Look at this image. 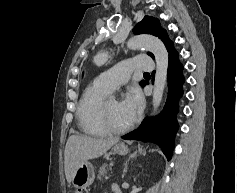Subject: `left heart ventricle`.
<instances>
[{
    "instance_id": "left-heart-ventricle-1",
    "label": "left heart ventricle",
    "mask_w": 237,
    "mask_h": 193,
    "mask_svg": "<svg viewBox=\"0 0 237 193\" xmlns=\"http://www.w3.org/2000/svg\"><path fill=\"white\" fill-rule=\"evenodd\" d=\"M108 120L112 126L117 128L125 127L131 123L121 102L117 100H112L108 105Z\"/></svg>"
}]
</instances>
